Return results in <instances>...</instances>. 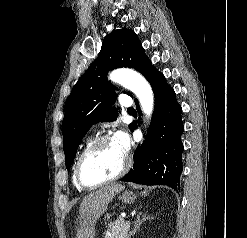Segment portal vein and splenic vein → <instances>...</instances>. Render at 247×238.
<instances>
[{"label":"portal vein and splenic vein","mask_w":247,"mask_h":238,"mask_svg":"<svg viewBox=\"0 0 247 238\" xmlns=\"http://www.w3.org/2000/svg\"><path fill=\"white\" fill-rule=\"evenodd\" d=\"M127 224H130V221H127Z\"/></svg>","instance_id":"obj_1"}]
</instances>
